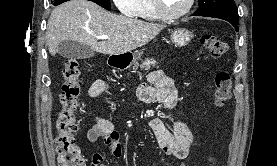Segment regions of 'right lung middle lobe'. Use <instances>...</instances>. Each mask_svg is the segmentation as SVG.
<instances>
[{"label":"right lung middle lobe","instance_id":"obj_1","mask_svg":"<svg viewBox=\"0 0 277 166\" xmlns=\"http://www.w3.org/2000/svg\"><path fill=\"white\" fill-rule=\"evenodd\" d=\"M68 0H54V4H61L63 2H66ZM92 2H95L96 4L102 6L103 8L110 10L111 9V5H110V0H89Z\"/></svg>","mask_w":277,"mask_h":166}]
</instances>
